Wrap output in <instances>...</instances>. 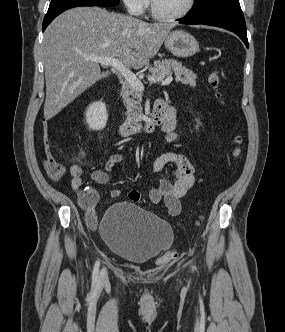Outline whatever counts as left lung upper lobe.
<instances>
[{
    "mask_svg": "<svg viewBox=\"0 0 285 332\" xmlns=\"http://www.w3.org/2000/svg\"><path fill=\"white\" fill-rule=\"evenodd\" d=\"M232 9H241L238 0H195L188 15H205Z\"/></svg>",
    "mask_w": 285,
    "mask_h": 332,
    "instance_id": "obj_1",
    "label": "left lung upper lobe"
}]
</instances>
